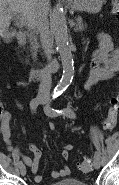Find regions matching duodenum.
<instances>
[{"label":"duodenum","instance_id":"410a0bca","mask_svg":"<svg viewBox=\"0 0 119 185\" xmlns=\"http://www.w3.org/2000/svg\"><path fill=\"white\" fill-rule=\"evenodd\" d=\"M27 38L24 33H19L17 35V44L23 47L26 44ZM59 69V62L57 60H52L50 63L46 64L42 68H32L29 71V77L31 80H40L46 75L53 74Z\"/></svg>","mask_w":119,"mask_h":185}]
</instances>
